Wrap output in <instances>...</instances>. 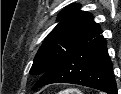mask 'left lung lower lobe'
Wrapping results in <instances>:
<instances>
[{"label":"left lung lower lobe","instance_id":"obj_1","mask_svg":"<svg viewBox=\"0 0 121 94\" xmlns=\"http://www.w3.org/2000/svg\"><path fill=\"white\" fill-rule=\"evenodd\" d=\"M52 83H71L117 94L112 62L103 35L87 42L46 71L33 90Z\"/></svg>","mask_w":121,"mask_h":94}]
</instances>
